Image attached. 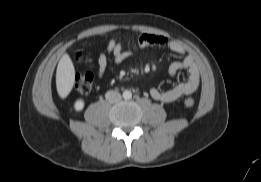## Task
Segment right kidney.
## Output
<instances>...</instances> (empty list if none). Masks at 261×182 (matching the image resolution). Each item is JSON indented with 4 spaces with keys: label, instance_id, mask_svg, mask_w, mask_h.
<instances>
[{
    "label": "right kidney",
    "instance_id": "ca27d5eb",
    "mask_svg": "<svg viewBox=\"0 0 261 182\" xmlns=\"http://www.w3.org/2000/svg\"><path fill=\"white\" fill-rule=\"evenodd\" d=\"M84 108V101L82 99H78L74 103V109L76 111H81Z\"/></svg>",
    "mask_w": 261,
    "mask_h": 182
}]
</instances>
